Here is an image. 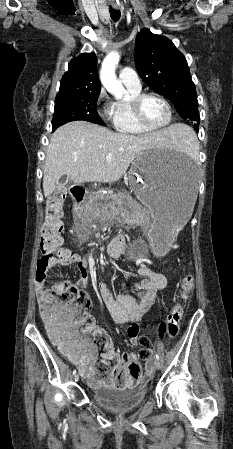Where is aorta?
Returning <instances> with one entry per match:
<instances>
[{
  "mask_svg": "<svg viewBox=\"0 0 233 449\" xmlns=\"http://www.w3.org/2000/svg\"><path fill=\"white\" fill-rule=\"evenodd\" d=\"M120 60V54L116 51L110 52L102 62L100 80L106 90L117 99L122 98L125 89L117 79L115 69Z\"/></svg>",
  "mask_w": 233,
  "mask_h": 449,
  "instance_id": "762f6f07",
  "label": "aorta"
}]
</instances>
